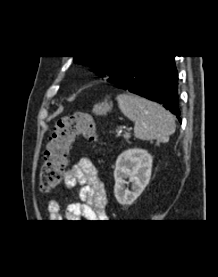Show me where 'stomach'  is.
Listing matches in <instances>:
<instances>
[{"label":"stomach","mask_w":218,"mask_h":277,"mask_svg":"<svg viewBox=\"0 0 218 277\" xmlns=\"http://www.w3.org/2000/svg\"><path fill=\"white\" fill-rule=\"evenodd\" d=\"M112 109V104L109 103L107 100L94 105L93 113L95 115H106Z\"/></svg>","instance_id":"obj_1"}]
</instances>
